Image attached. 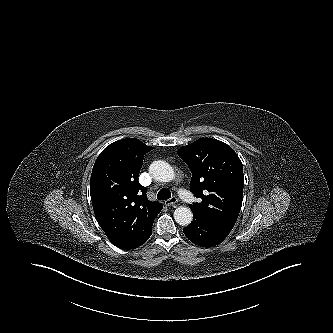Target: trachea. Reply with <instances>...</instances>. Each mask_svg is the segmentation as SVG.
Segmentation results:
<instances>
[{"label": "trachea", "mask_w": 333, "mask_h": 333, "mask_svg": "<svg viewBox=\"0 0 333 333\" xmlns=\"http://www.w3.org/2000/svg\"><path fill=\"white\" fill-rule=\"evenodd\" d=\"M171 198V192L168 189H161L157 194V199L159 200H167Z\"/></svg>", "instance_id": "trachea-1"}]
</instances>
